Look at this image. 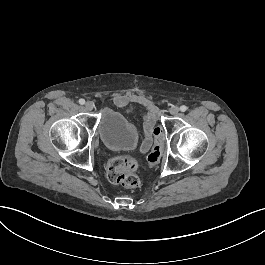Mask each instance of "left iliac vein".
<instances>
[{"label": "left iliac vein", "mask_w": 265, "mask_h": 265, "mask_svg": "<svg viewBox=\"0 0 265 265\" xmlns=\"http://www.w3.org/2000/svg\"><path fill=\"white\" fill-rule=\"evenodd\" d=\"M170 113H171L172 115H174V116L178 115V113H179V108H178L177 106H173V107H171V109H170Z\"/></svg>", "instance_id": "obj_1"}]
</instances>
